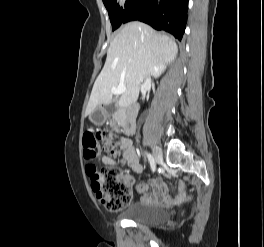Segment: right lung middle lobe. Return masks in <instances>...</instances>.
<instances>
[{"mask_svg":"<svg viewBox=\"0 0 264 247\" xmlns=\"http://www.w3.org/2000/svg\"><path fill=\"white\" fill-rule=\"evenodd\" d=\"M134 0H126L125 8L119 7L117 4V0H103V3L108 10V14L110 17L111 24L113 26L112 30L118 28L125 16L127 9L133 3Z\"/></svg>","mask_w":264,"mask_h":247,"instance_id":"dd1d6c3e","label":"right lung middle lobe"}]
</instances>
